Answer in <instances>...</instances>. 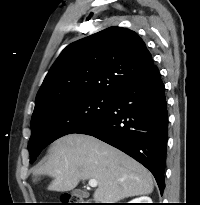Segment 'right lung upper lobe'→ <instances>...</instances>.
<instances>
[{"mask_svg":"<svg viewBox=\"0 0 200 205\" xmlns=\"http://www.w3.org/2000/svg\"><path fill=\"white\" fill-rule=\"evenodd\" d=\"M153 66L150 52L134 31L104 29L62 51L37 93L32 116L74 97H113Z\"/></svg>","mask_w":200,"mask_h":205,"instance_id":"right-lung-upper-lobe-1","label":"right lung upper lobe"}]
</instances>
